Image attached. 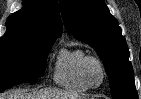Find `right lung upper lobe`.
Returning <instances> with one entry per match:
<instances>
[{
	"label": "right lung upper lobe",
	"instance_id": "right-lung-upper-lobe-1",
	"mask_svg": "<svg viewBox=\"0 0 141 99\" xmlns=\"http://www.w3.org/2000/svg\"><path fill=\"white\" fill-rule=\"evenodd\" d=\"M24 7L7 19V31L1 38L30 39L54 43L62 33L55 0H23Z\"/></svg>",
	"mask_w": 141,
	"mask_h": 99
}]
</instances>
